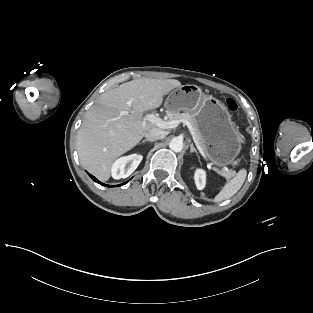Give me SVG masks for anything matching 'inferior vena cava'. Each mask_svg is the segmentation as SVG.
<instances>
[{
	"label": "inferior vena cava",
	"instance_id": "602c4592",
	"mask_svg": "<svg viewBox=\"0 0 313 313\" xmlns=\"http://www.w3.org/2000/svg\"><path fill=\"white\" fill-rule=\"evenodd\" d=\"M167 135L166 131H163L161 129H151L149 132L145 134L146 139L148 140H158V139H163Z\"/></svg>",
	"mask_w": 313,
	"mask_h": 313
}]
</instances>
